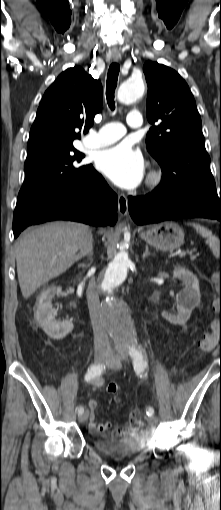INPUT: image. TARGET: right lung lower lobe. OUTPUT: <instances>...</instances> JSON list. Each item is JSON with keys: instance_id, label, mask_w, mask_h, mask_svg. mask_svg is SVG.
Returning a JSON list of instances; mask_svg holds the SVG:
<instances>
[{"instance_id": "obj_1", "label": "right lung lower lobe", "mask_w": 221, "mask_h": 510, "mask_svg": "<svg viewBox=\"0 0 221 510\" xmlns=\"http://www.w3.org/2000/svg\"><path fill=\"white\" fill-rule=\"evenodd\" d=\"M117 205V195L89 165L76 183L43 197L22 218L14 216V237L30 225L53 220H72L95 226L114 225Z\"/></svg>"}]
</instances>
